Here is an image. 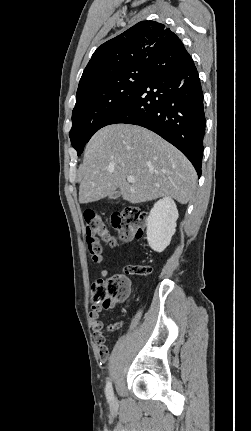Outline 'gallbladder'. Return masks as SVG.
I'll list each match as a JSON object with an SVG mask.
<instances>
[{
    "instance_id": "1",
    "label": "gallbladder",
    "mask_w": 251,
    "mask_h": 431,
    "mask_svg": "<svg viewBox=\"0 0 251 431\" xmlns=\"http://www.w3.org/2000/svg\"><path fill=\"white\" fill-rule=\"evenodd\" d=\"M118 197H120L119 191L113 192L111 195H109V199H116Z\"/></svg>"
}]
</instances>
